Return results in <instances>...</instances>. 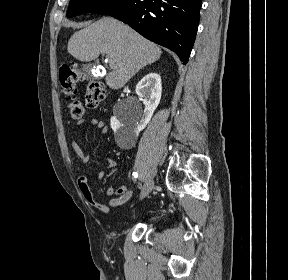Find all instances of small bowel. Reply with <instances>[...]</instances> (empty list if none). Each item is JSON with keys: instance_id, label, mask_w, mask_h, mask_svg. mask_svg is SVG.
<instances>
[{"instance_id": "c3829d8e", "label": "small bowel", "mask_w": 288, "mask_h": 280, "mask_svg": "<svg viewBox=\"0 0 288 280\" xmlns=\"http://www.w3.org/2000/svg\"><path fill=\"white\" fill-rule=\"evenodd\" d=\"M89 122L92 126L98 128L102 134H106L108 132V128L102 120H99L97 118H91ZM83 124L84 120H81L78 123L79 126ZM71 147L82 163L89 162L90 156L82 150L78 142L73 141L71 143ZM115 166H116L115 160L112 158H107V168L113 169ZM105 175H106L105 171H99L97 173V178L103 179ZM77 182L78 187L86 202L96 210L103 213H108L113 207L126 203L133 196V192L127 189L125 185H120L119 187L110 186L107 188L106 194L112 198L107 202H102L99 199H97L94 192L92 191L89 185L88 177L86 175L79 176Z\"/></svg>"}]
</instances>
